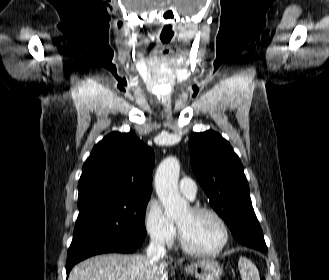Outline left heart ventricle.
<instances>
[{
  "label": "left heart ventricle",
  "instance_id": "obj_1",
  "mask_svg": "<svg viewBox=\"0 0 329 280\" xmlns=\"http://www.w3.org/2000/svg\"><path fill=\"white\" fill-rule=\"evenodd\" d=\"M186 242L198 250L215 249L222 240L217 221L207 214H193L186 210L177 220Z\"/></svg>",
  "mask_w": 329,
  "mask_h": 280
}]
</instances>
